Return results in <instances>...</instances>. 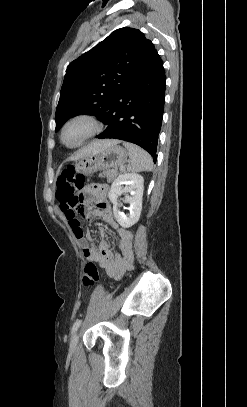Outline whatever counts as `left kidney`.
<instances>
[{
	"instance_id": "obj_1",
	"label": "left kidney",
	"mask_w": 247,
	"mask_h": 407,
	"mask_svg": "<svg viewBox=\"0 0 247 407\" xmlns=\"http://www.w3.org/2000/svg\"><path fill=\"white\" fill-rule=\"evenodd\" d=\"M143 190L144 179L141 175L135 173L121 174L112 183L109 199L113 203L114 217L122 227L129 228L139 220L142 210ZM122 193H129L125 197V201L130 204L129 216H126L118 208L117 199Z\"/></svg>"
}]
</instances>
